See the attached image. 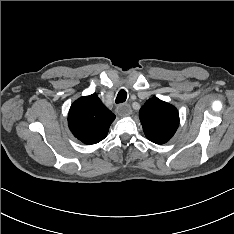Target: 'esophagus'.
I'll use <instances>...</instances> for the list:
<instances>
[{
  "label": "esophagus",
  "instance_id": "1",
  "mask_svg": "<svg viewBox=\"0 0 234 234\" xmlns=\"http://www.w3.org/2000/svg\"><path fill=\"white\" fill-rule=\"evenodd\" d=\"M116 111L121 116H129L132 113L131 106L128 104H121L117 106Z\"/></svg>",
  "mask_w": 234,
  "mask_h": 234
}]
</instances>
